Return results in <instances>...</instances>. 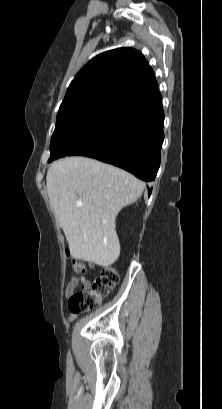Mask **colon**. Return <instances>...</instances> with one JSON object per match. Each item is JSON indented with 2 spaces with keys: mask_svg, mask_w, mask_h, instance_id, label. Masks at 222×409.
I'll list each match as a JSON object with an SVG mask.
<instances>
[{
  "mask_svg": "<svg viewBox=\"0 0 222 409\" xmlns=\"http://www.w3.org/2000/svg\"><path fill=\"white\" fill-rule=\"evenodd\" d=\"M77 272L85 271L90 265L74 261ZM119 281L117 270L112 266H106L93 280L87 291H80L72 295L68 301V309L73 314L88 312L98 306L100 301L106 297Z\"/></svg>",
  "mask_w": 222,
  "mask_h": 409,
  "instance_id": "obj_1",
  "label": "colon"
}]
</instances>
